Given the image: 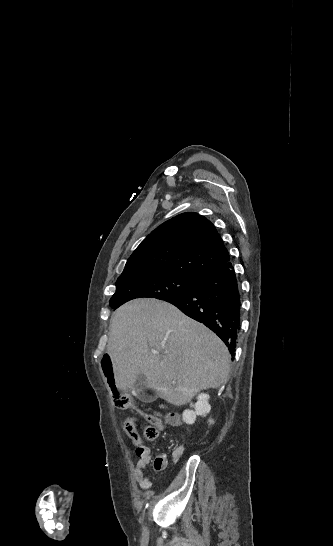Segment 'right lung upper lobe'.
Listing matches in <instances>:
<instances>
[{"instance_id": "obj_1", "label": "right lung upper lobe", "mask_w": 333, "mask_h": 546, "mask_svg": "<svg viewBox=\"0 0 333 546\" xmlns=\"http://www.w3.org/2000/svg\"><path fill=\"white\" fill-rule=\"evenodd\" d=\"M229 260L214 225L187 212L152 231L130 256L122 274L172 272L200 279Z\"/></svg>"}]
</instances>
